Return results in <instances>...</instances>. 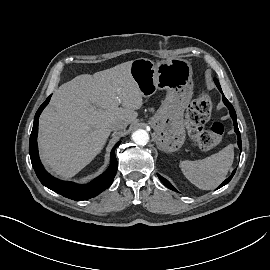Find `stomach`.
Segmentation results:
<instances>
[{
    "instance_id": "1",
    "label": "stomach",
    "mask_w": 270,
    "mask_h": 270,
    "mask_svg": "<svg viewBox=\"0 0 270 270\" xmlns=\"http://www.w3.org/2000/svg\"><path fill=\"white\" fill-rule=\"evenodd\" d=\"M192 67L182 58L161 60L157 63L138 58L132 61L131 76L143 96L166 90V96L150 123L156 132L157 147L175 152L185 141L184 110L193 91Z\"/></svg>"
}]
</instances>
